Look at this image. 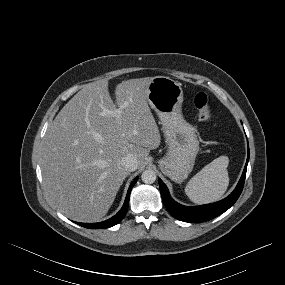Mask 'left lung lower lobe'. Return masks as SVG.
Wrapping results in <instances>:
<instances>
[{
    "label": "left lung lower lobe",
    "mask_w": 285,
    "mask_h": 285,
    "mask_svg": "<svg viewBox=\"0 0 285 285\" xmlns=\"http://www.w3.org/2000/svg\"><path fill=\"white\" fill-rule=\"evenodd\" d=\"M248 161H249V151H248L247 162L244 167L242 176L234 191L225 199L212 204L201 205L197 207H187L178 204L171 198L166 185L162 182L161 179H159L158 181L160 186V192L165 207L172 216L184 222H190V223L204 222L219 216L220 214L227 211L239 198L245 182Z\"/></svg>",
    "instance_id": "obj_1"
}]
</instances>
